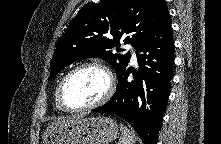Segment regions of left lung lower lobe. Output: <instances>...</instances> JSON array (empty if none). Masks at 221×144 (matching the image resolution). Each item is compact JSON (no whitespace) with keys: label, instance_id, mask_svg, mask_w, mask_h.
I'll use <instances>...</instances> for the list:
<instances>
[{"label":"left lung lower lobe","instance_id":"obj_1","mask_svg":"<svg viewBox=\"0 0 221 144\" xmlns=\"http://www.w3.org/2000/svg\"><path fill=\"white\" fill-rule=\"evenodd\" d=\"M139 69L124 67L113 97L95 112L115 114L129 122L144 144H157L167 107L174 65V42L168 12L136 49ZM132 72L134 79L128 81Z\"/></svg>","mask_w":221,"mask_h":144}]
</instances>
